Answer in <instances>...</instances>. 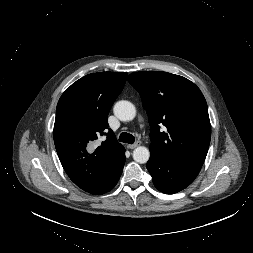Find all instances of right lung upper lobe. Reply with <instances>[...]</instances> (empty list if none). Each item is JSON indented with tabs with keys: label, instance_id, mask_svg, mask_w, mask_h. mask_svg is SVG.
Listing matches in <instances>:
<instances>
[{
	"label": "right lung upper lobe",
	"instance_id": "cb5924a9",
	"mask_svg": "<svg viewBox=\"0 0 253 253\" xmlns=\"http://www.w3.org/2000/svg\"><path fill=\"white\" fill-rule=\"evenodd\" d=\"M127 75H86L66 89L57 104L53 130L56 151L67 175L84 191L102 183L125 152L108 128V113ZM103 135L106 139L97 146ZM88 146H92L89 151Z\"/></svg>",
	"mask_w": 253,
	"mask_h": 253
}]
</instances>
